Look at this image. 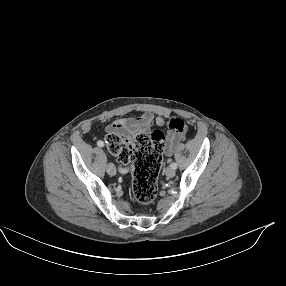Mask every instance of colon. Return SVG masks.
I'll return each mask as SVG.
<instances>
[{
    "label": "colon",
    "mask_w": 286,
    "mask_h": 286,
    "mask_svg": "<svg viewBox=\"0 0 286 286\" xmlns=\"http://www.w3.org/2000/svg\"><path fill=\"white\" fill-rule=\"evenodd\" d=\"M177 124L182 131L186 129L182 120ZM164 142L165 136L160 130H154L150 136L138 135L134 140L117 134L108 135L106 138L108 151L118 161L132 164V193L142 205L153 203L157 196V177Z\"/></svg>",
    "instance_id": "colon-1"
}]
</instances>
